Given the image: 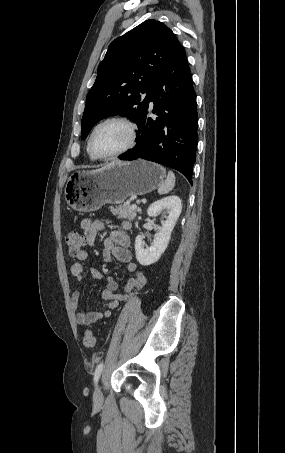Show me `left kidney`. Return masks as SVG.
Instances as JSON below:
<instances>
[{
    "label": "left kidney",
    "instance_id": "5707ae66",
    "mask_svg": "<svg viewBox=\"0 0 285 453\" xmlns=\"http://www.w3.org/2000/svg\"><path fill=\"white\" fill-rule=\"evenodd\" d=\"M181 210V199L175 195L157 200L149 206L147 210L149 217H156L161 212H164L167 216L149 247H144L145 243L142 235L136 237L135 254L137 261L141 265L148 266L160 259L169 244L171 232L181 214Z\"/></svg>",
    "mask_w": 285,
    "mask_h": 453
}]
</instances>
